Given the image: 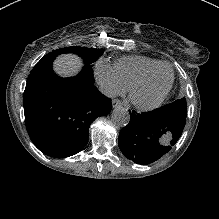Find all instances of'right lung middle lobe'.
<instances>
[{
	"mask_svg": "<svg viewBox=\"0 0 219 219\" xmlns=\"http://www.w3.org/2000/svg\"><path fill=\"white\" fill-rule=\"evenodd\" d=\"M104 52L102 49H93V48H84V47H66L58 50H54L53 52L45 55L44 58H50L55 57L56 55L62 54V53H75L79 56H81L85 64L90 65L92 67V63L95 62Z\"/></svg>",
	"mask_w": 219,
	"mask_h": 219,
	"instance_id": "1",
	"label": "right lung middle lobe"
}]
</instances>
